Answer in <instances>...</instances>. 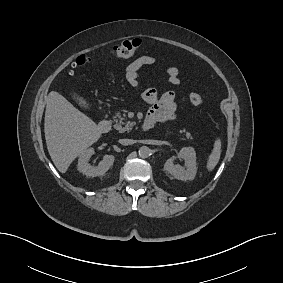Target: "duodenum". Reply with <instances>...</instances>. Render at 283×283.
I'll list each match as a JSON object with an SVG mask.
<instances>
[{
  "instance_id": "duodenum-1",
  "label": "duodenum",
  "mask_w": 283,
  "mask_h": 283,
  "mask_svg": "<svg viewBox=\"0 0 283 283\" xmlns=\"http://www.w3.org/2000/svg\"><path fill=\"white\" fill-rule=\"evenodd\" d=\"M152 124L146 119L143 123V129L148 130L150 129ZM111 129V122L108 118H103L98 123V130L101 133H107Z\"/></svg>"
}]
</instances>
